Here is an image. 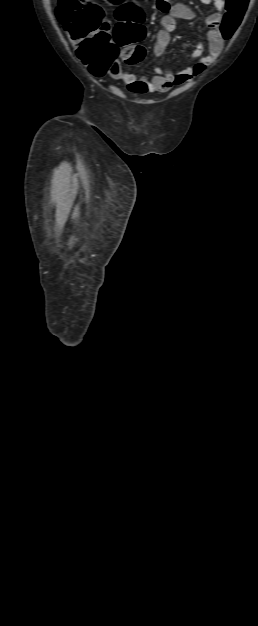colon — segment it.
<instances>
[{
	"instance_id": "colon-1",
	"label": "colon",
	"mask_w": 258,
	"mask_h": 626,
	"mask_svg": "<svg viewBox=\"0 0 258 626\" xmlns=\"http://www.w3.org/2000/svg\"><path fill=\"white\" fill-rule=\"evenodd\" d=\"M121 7L119 22L111 29L104 19L103 8L89 0H58L56 17L64 26L78 58L95 76L104 75L121 55L125 62L137 64L145 57V49L137 44L145 34V14L128 0H106ZM249 0H226L220 31L229 39L239 27ZM124 47L121 53L120 49Z\"/></svg>"
}]
</instances>
